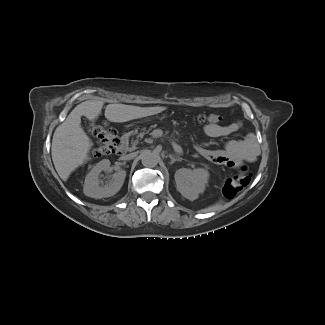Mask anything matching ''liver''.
Masks as SVG:
<instances>
[{"instance_id":"obj_1","label":"liver","mask_w":325,"mask_h":325,"mask_svg":"<svg viewBox=\"0 0 325 325\" xmlns=\"http://www.w3.org/2000/svg\"><path fill=\"white\" fill-rule=\"evenodd\" d=\"M103 100H88L77 105L60 124L52 139V160L55 169L63 181L89 159L92 141L81 127V117L90 121L101 114ZM166 107H139L125 104H109L105 109V117L111 122H127L163 112Z\"/></svg>"}]
</instances>
